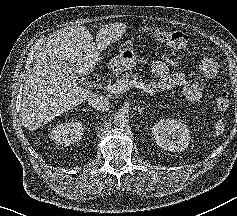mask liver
Instances as JSON below:
<instances>
[{
  "label": "liver",
  "mask_w": 237,
  "mask_h": 216,
  "mask_svg": "<svg viewBox=\"0 0 237 216\" xmlns=\"http://www.w3.org/2000/svg\"><path fill=\"white\" fill-rule=\"evenodd\" d=\"M47 40L40 59L28 74L23 90L22 116L31 129L74 109L94 93L78 85V75L93 72L98 57L85 26H73Z\"/></svg>",
  "instance_id": "1"
}]
</instances>
